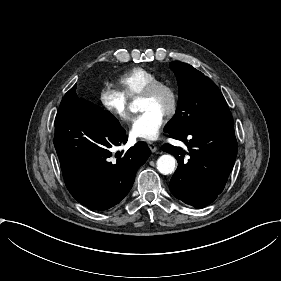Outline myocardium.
<instances>
[{
	"mask_svg": "<svg viewBox=\"0 0 281 281\" xmlns=\"http://www.w3.org/2000/svg\"><path fill=\"white\" fill-rule=\"evenodd\" d=\"M161 91H164L168 98V104L163 116L165 118H170L176 113L178 107L176 91L170 84L160 80L153 82L141 93V98L154 99Z\"/></svg>",
	"mask_w": 281,
	"mask_h": 281,
	"instance_id": "f54148a6",
	"label": "myocardium"
}]
</instances>
